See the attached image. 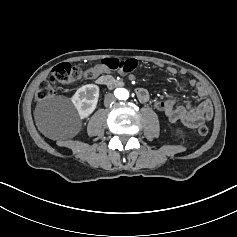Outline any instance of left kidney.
<instances>
[{
	"label": "left kidney",
	"instance_id": "obj_1",
	"mask_svg": "<svg viewBox=\"0 0 237 237\" xmlns=\"http://www.w3.org/2000/svg\"><path fill=\"white\" fill-rule=\"evenodd\" d=\"M175 131L178 135H183V133H184L183 130L180 127L176 128Z\"/></svg>",
	"mask_w": 237,
	"mask_h": 237
}]
</instances>
